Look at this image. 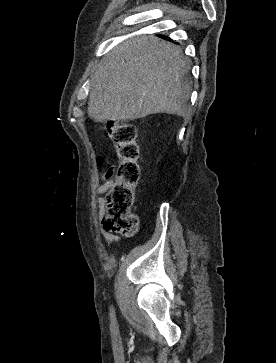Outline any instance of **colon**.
<instances>
[{
  "mask_svg": "<svg viewBox=\"0 0 276 363\" xmlns=\"http://www.w3.org/2000/svg\"><path fill=\"white\" fill-rule=\"evenodd\" d=\"M106 131L116 146L119 163L115 182L105 197L103 227L108 232L133 236L138 230L139 219L132 213V207L141 175L137 129L131 123L111 122Z\"/></svg>",
  "mask_w": 276,
  "mask_h": 363,
  "instance_id": "5ec220e1",
  "label": "colon"
}]
</instances>
